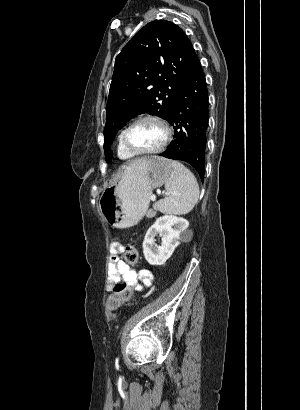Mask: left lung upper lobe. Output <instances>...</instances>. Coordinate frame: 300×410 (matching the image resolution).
Listing matches in <instances>:
<instances>
[{"instance_id": "obj_1", "label": "left lung upper lobe", "mask_w": 300, "mask_h": 410, "mask_svg": "<svg viewBox=\"0 0 300 410\" xmlns=\"http://www.w3.org/2000/svg\"><path fill=\"white\" fill-rule=\"evenodd\" d=\"M196 58L183 30L166 20L148 23L126 44L115 60L106 106L107 163L114 136L128 120L145 112L168 119Z\"/></svg>"}]
</instances>
